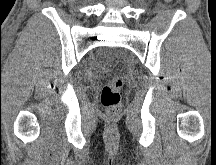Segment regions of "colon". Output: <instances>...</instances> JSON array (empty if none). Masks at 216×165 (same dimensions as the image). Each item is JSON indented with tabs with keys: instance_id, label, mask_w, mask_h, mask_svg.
Instances as JSON below:
<instances>
[{
	"instance_id": "colon-1",
	"label": "colon",
	"mask_w": 216,
	"mask_h": 165,
	"mask_svg": "<svg viewBox=\"0 0 216 165\" xmlns=\"http://www.w3.org/2000/svg\"><path fill=\"white\" fill-rule=\"evenodd\" d=\"M122 87V78L115 75L111 77L109 82L102 88L101 103L110 116H115L120 110Z\"/></svg>"
}]
</instances>
